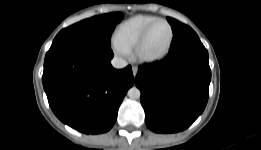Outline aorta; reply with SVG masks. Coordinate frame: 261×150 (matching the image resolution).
<instances>
[{"label":"aorta","mask_w":261,"mask_h":150,"mask_svg":"<svg viewBox=\"0 0 261 150\" xmlns=\"http://www.w3.org/2000/svg\"><path fill=\"white\" fill-rule=\"evenodd\" d=\"M128 97L131 99H139L140 98V90L137 87H132L128 90Z\"/></svg>","instance_id":"aorta-1"}]
</instances>
